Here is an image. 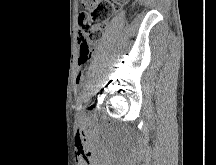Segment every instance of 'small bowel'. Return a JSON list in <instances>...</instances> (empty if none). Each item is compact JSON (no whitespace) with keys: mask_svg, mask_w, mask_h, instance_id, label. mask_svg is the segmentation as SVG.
<instances>
[{"mask_svg":"<svg viewBox=\"0 0 216 165\" xmlns=\"http://www.w3.org/2000/svg\"><path fill=\"white\" fill-rule=\"evenodd\" d=\"M79 65H80V63H79ZM81 65H82V63H81ZM81 79H82V76H81V73L77 76V81H76V83H79L80 81H81Z\"/></svg>","mask_w":216,"mask_h":165,"instance_id":"small-bowel-1","label":"small bowel"}]
</instances>
